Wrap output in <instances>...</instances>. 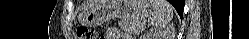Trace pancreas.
Masks as SVG:
<instances>
[{"label": "pancreas", "instance_id": "obj_1", "mask_svg": "<svg viewBox=\"0 0 249 39\" xmlns=\"http://www.w3.org/2000/svg\"><path fill=\"white\" fill-rule=\"evenodd\" d=\"M120 28L128 34H140L143 30V23L135 19H122L118 22Z\"/></svg>", "mask_w": 249, "mask_h": 39}]
</instances>
